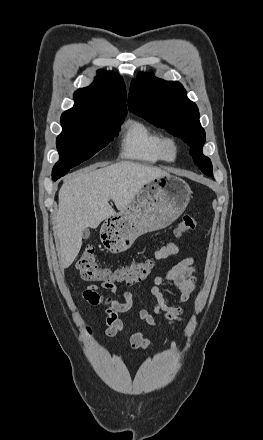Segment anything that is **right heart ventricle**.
Segmentation results:
<instances>
[{"mask_svg":"<svg viewBox=\"0 0 263 440\" xmlns=\"http://www.w3.org/2000/svg\"><path fill=\"white\" fill-rule=\"evenodd\" d=\"M162 134L149 124L131 119L126 123L120 141V155L123 158L145 163L165 160L161 153Z\"/></svg>","mask_w":263,"mask_h":440,"instance_id":"right-heart-ventricle-1","label":"right heart ventricle"}]
</instances>
